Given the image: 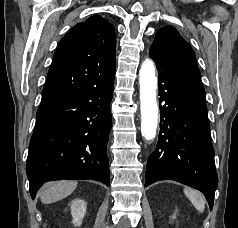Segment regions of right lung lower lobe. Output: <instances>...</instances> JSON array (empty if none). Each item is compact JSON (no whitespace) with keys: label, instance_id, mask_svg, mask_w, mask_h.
Segmentation results:
<instances>
[{"label":"right lung lower lobe","instance_id":"right-lung-lower-lobe-1","mask_svg":"<svg viewBox=\"0 0 238 228\" xmlns=\"http://www.w3.org/2000/svg\"><path fill=\"white\" fill-rule=\"evenodd\" d=\"M114 77L84 92L41 103L26 172L30 194L46 181L93 179L109 185L107 142Z\"/></svg>","mask_w":238,"mask_h":228}]
</instances>
